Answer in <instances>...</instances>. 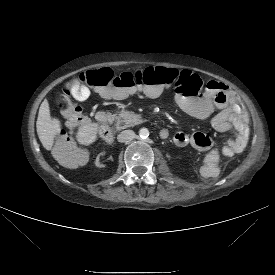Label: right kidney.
<instances>
[{"label":"right kidney","instance_id":"ca27d5eb","mask_svg":"<svg viewBox=\"0 0 275 275\" xmlns=\"http://www.w3.org/2000/svg\"><path fill=\"white\" fill-rule=\"evenodd\" d=\"M106 156L104 153L99 152L95 156V165L98 166L99 169H106L107 168V161Z\"/></svg>","mask_w":275,"mask_h":275}]
</instances>
